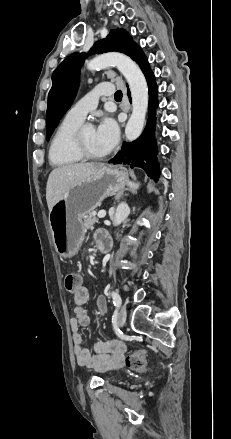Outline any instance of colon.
Returning a JSON list of instances; mask_svg holds the SVG:
<instances>
[{
    "label": "colon",
    "mask_w": 231,
    "mask_h": 439,
    "mask_svg": "<svg viewBox=\"0 0 231 439\" xmlns=\"http://www.w3.org/2000/svg\"><path fill=\"white\" fill-rule=\"evenodd\" d=\"M80 283H85L82 278L81 270H68L65 278V287L67 291H71V294L75 295L76 287L79 286ZM125 365L133 371H144L146 367V351L137 350L129 354L125 358Z\"/></svg>",
    "instance_id": "5ec220e1"
}]
</instances>
